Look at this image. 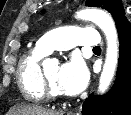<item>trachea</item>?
Listing matches in <instances>:
<instances>
[{"instance_id":"obj_1","label":"trachea","mask_w":131,"mask_h":115,"mask_svg":"<svg viewBox=\"0 0 131 115\" xmlns=\"http://www.w3.org/2000/svg\"><path fill=\"white\" fill-rule=\"evenodd\" d=\"M93 50H101V48L99 46H96L93 48Z\"/></svg>"}]
</instances>
